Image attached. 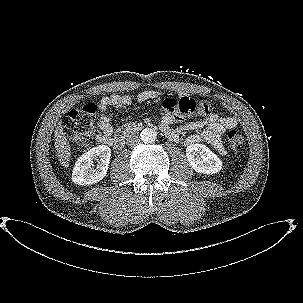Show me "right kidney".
Here are the masks:
<instances>
[{
    "instance_id": "obj_1",
    "label": "right kidney",
    "mask_w": 303,
    "mask_h": 303,
    "mask_svg": "<svg viewBox=\"0 0 303 303\" xmlns=\"http://www.w3.org/2000/svg\"><path fill=\"white\" fill-rule=\"evenodd\" d=\"M111 149L106 145H98L82 154L75 163L72 181L77 185H91L101 181L107 174ZM99 160L93 168V160Z\"/></svg>"
}]
</instances>
